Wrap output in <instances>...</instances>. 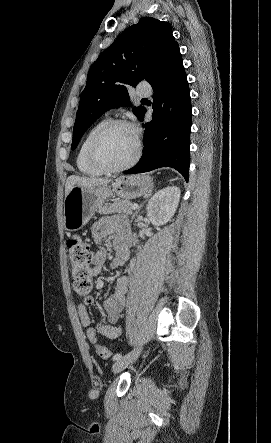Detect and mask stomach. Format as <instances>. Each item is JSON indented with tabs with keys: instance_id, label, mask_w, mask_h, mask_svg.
<instances>
[{
	"instance_id": "obj_1",
	"label": "stomach",
	"mask_w": 271,
	"mask_h": 443,
	"mask_svg": "<svg viewBox=\"0 0 271 443\" xmlns=\"http://www.w3.org/2000/svg\"><path fill=\"white\" fill-rule=\"evenodd\" d=\"M152 178L149 176H122L112 186H74L64 202L63 223L67 231H77L92 218L97 208H101L111 196L124 200L140 198L151 192Z\"/></svg>"
}]
</instances>
